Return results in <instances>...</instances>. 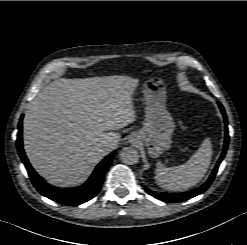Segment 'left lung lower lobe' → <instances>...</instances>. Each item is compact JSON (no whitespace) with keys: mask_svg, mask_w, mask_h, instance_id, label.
I'll use <instances>...</instances> for the list:
<instances>
[{"mask_svg":"<svg viewBox=\"0 0 247 245\" xmlns=\"http://www.w3.org/2000/svg\"><path fill=\"white\" fill-rule=\"evenodd\" d=\"M222 114H223V117H224V122H225V141H224V148H223V152L212 172V174L210 175L209 179L199 188L193 190V191H190V192H187V193H182V194H157V193H154V192H151L150 190L145 189V191L147 193H149L150 195H152L153 197L159 199V200H162V201H166V202H181V201H185V200H188L190 198H193L203 192H205L207 190V188L211 185V183L213 182L214 180V177L218 171V167L221 163V161L223 160L225 154H226V151H227V148H228V144H229V134H228V127H227V124H228V121H227V116H226V113L224 111V108L223 106L221 105V103H217Z\"/></svg>","mask_w":247,"mask_h":245,"instance_id":"1","label":"left lung lower lobe"}]
</instances>
